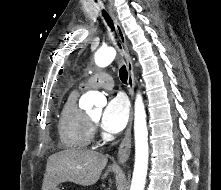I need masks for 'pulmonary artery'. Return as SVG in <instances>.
<instances>
[{"mask_svg":"<svg viewBox=\"0 0 221 190\" xmlns=\"http://www.w3.org/2000/svg\"><path fill=\"white\" fill-rule=\"evenodd\" d=\"M113 85L112 77L104 71L91 75L82 83V86L85 88L102 87L105 89H112Z\"/></svg>","mask_w":221,"mask_h":190,"instance_id":"e3ab8cb5","label":"pulmonary artery"}]
</instances>
